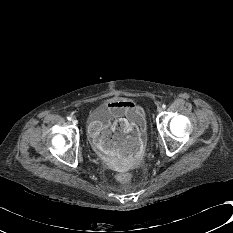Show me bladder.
<instances>
[{
    "label": "bladder",
    "instance_id": "obj_1",
    "mask_svg": "<svg viewBox=\"0 0 233 233\" xmlns=\"http://www.w3.org/2000/svg\"><path fill=\"white\" fill-rule=\"evenodd\" d=\"M109 116V112L105 107H99L94 111L92 119L98 120L100 123H107Z\"/></svg>",
    "mask_w": 233,
    "mask_h": 233
}]
</instances>
